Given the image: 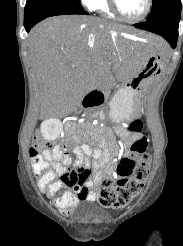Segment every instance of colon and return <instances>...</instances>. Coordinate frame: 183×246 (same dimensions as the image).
Returning <instances> with one entry per match:
<instances>
[{
    "instance_id": "1",
    "label": "colon",
    "mask_w": 183,
    "mask_h": 246,
    "mask_svg": "<svg viewBox=\"0 0 183 246\" xmlns=\"http://www.w3.org/2000/svg\"><path fill=\"white\" fill-rule=\"evenodd\" d=\"M141 123L133 121L128 126L129 131H139ZM49 146L42 133H38L30 148L33 166L43 191L54 190L56 182L61 181L65 185L73 184L78 178H59L48 169V162L43 157V151ZM133 156H125L117 164L109 166L112 175L106 174L98 181V202L106 208L121 209L138 197L144 189L149 177L151 156L149 143L145 138L135 141L131 147ZM78 171V173H83ZM66 173H77L75 171Z\"/></svg>"
}]
</instances>
